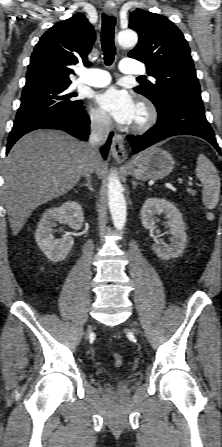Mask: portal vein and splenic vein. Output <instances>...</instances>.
<instances>
[{"label": "portal vein and splenic vein", "mask_w": 222, "mask_h": 447, "mask_svg": "<svg viewBox=\"0 0 222 447\" xmlns=\"http://www.w3.org/2000/svg\"><path fill=\"white\" fill-rule=\"evenodd\" d=\"M179 182L181 183V182H182V179H179ZM187 184H188L189 186H193V182H192V181H188Z\"/></svg>", "instance_id": "obj_1"}]
</instances>
